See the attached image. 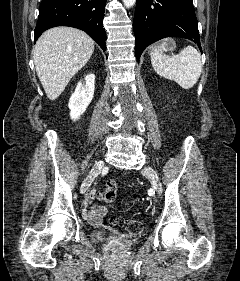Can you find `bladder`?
<instances>
[{"instance_id": "1", "label": "bladder", "mask_w": 240, "mask_h": 281, "mask_svg": "<svg viewBox=\"0 0 240 281\" xmlns=\"http://www.w3.org/2000/svg\"><path fill=\"white\" fill-rule=\"evenodd\" d=\"M121 237L123 236L118 233H113L106 230H96L91 233V238L96 243H105L112 238H121ZM131 240L132 238L130 237L129 241Z\"/></svg>"}]
</instances>
